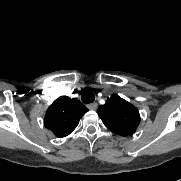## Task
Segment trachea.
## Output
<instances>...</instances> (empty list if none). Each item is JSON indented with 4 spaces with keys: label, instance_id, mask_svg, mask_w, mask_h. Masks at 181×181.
<instances>
[{
    "label": "trachea",
    "instance_id": "1",
    "mask_svg": "<svg viewBox=\"0 0 181 181\" xmlns=\"http://www.w3.org/2000/svg\"><path fill=\"white\" fill-rule=\"evenodd\" d=\"M81 99L84 103H92L94 102L95 100V96L93 94L92 91L90 90H85L83 93H82V96H81Z\"/></svg>",
    "mask_w": 181,
    "mask_h": 181
}]
</instances>
